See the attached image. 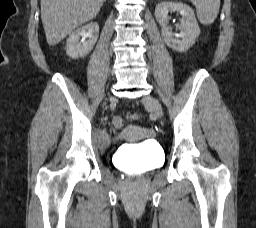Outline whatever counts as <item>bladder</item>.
<instances>
[{"label":"bladder","mask_w":256,"mask_h":228,"mask_svg":"<svg viewBox=\"0 0 256 228\" xmlns=\"http://www.w3.org/2000/svg\"><path fill=\"white\" fill-rule=\"evenodd\" d=\"M109 141L110 138L106 134H102L98 139V142L101 145H107ZM159 159L160 153L157 148L153 146L145 147L141 151L133 153L128 157L129 162L141 171H146L156 167Z\"/></svg>","instance_id":"1"}]
</instances>
